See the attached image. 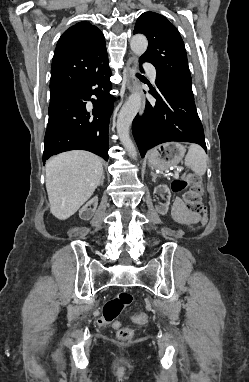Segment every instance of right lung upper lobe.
Here are the masks:
<instances>
[{
    "instance_id": "1",
    "label": "right lung upper lobe",
    "mask_w": 249,
    "mask_h": 382,
    "mask_svg": "<svg viewBox=\"0 0 249 382\" xmlns=\"http://www.w3.org/2000/svg\"><path fill=\"white\" fill-rule=\"evenodd\" d=\"M107 58L102 32L89 22H79L59 38L51 66L50 103L84 82Z\"/></svg>"
}]
</instances>
